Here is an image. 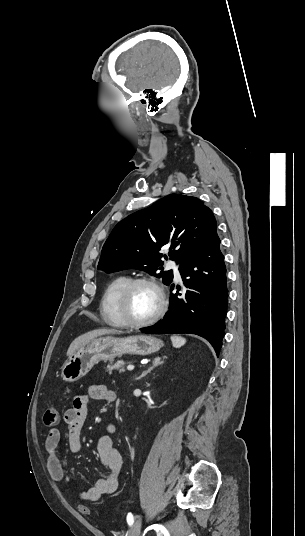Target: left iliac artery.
I'll return each instance as SVG.
<instances>
[{"label": "left iliac artery", "mask_w": 305, "mask_h": 536, "mask_svg": "<svg viewBox=\"0 0 305 536\" xmlns=\"http://www.w3.org/2000/svg\"><path fill=\"white\" fill-rule=\"evenodd\" d=\"M127 522L128 524L131 526L134 522V518H133V515L131 513H128L127 515Z\"/></svg>", "instance_id": "44dca946"}]
</instances>
